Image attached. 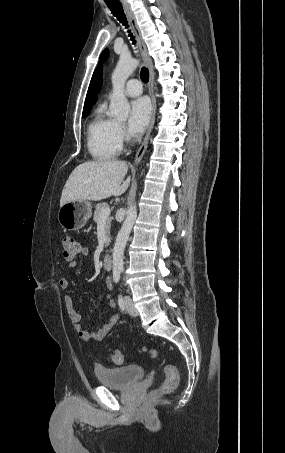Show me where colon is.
<instances>
[{
  "instance_id": "obj_1",
  "label": "colon",
  "mask_w": 285,
  "mask_h": 453,
  "mask_svg": "<svg viewBox=\"0 0 285 453\" xmlns=\"http://www.w3.org/2000/svg\"><path fill=\"white\" fill-rule=\"evenodd\" d=\"M64 258L68 261L73 260L80 252V245L73 237H65L62 240ZM143 351L150 354L153 358L160 356L159 351L150 346L143 348ZM112 361L115 364H122L124 355L120 350H115L112 354ZM165 381L158 389L159 394H169L173 392L179 383V373L176 367L172 364H166L164 367Z\"/></svg>"
}]
</instances>
